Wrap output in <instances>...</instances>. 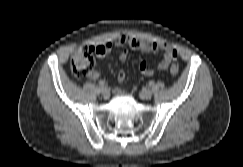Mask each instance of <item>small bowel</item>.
Segmentation results:
<instances>
[{"label": "small bowel", "mask_w": 243, "mask_h": 167, "mask_svg": "<svg viewBox=\"0 0 243 167\" xmlns=\"http://www.w3.org/2000/svg\"><path fill=\"white\" fill-rule=\"evenodd\" d=\"M116 46H124L127 45L131 47L132 49L139 50L142 52H149V51H154V52H161L163 53V58L158 64V68L162 71L167 70L170 64L176 60L178 56L177 50L171 46L170 44L166 42H154V41H146V40H141L133 36H127L123 35L118 38V40L115 43ZM94 48L95 54L98 57H104L108 53L111 52L112 45L111 44H101L97 45ZM128 58V52L126 49L122 50V52L119 55V60L120 62L124 63L126 62ZM139 70L144 76H152L154 71L152 68L148 66V64L145 61H141L139 63ZM89 77L91 79H98L100 77V73L97 71H93ZM118 81L123 82L126 78V73L123 69H121L118 72L117 75Z\"/></svg>", "instance_id": "small-bowel-1"}]
</instances>
